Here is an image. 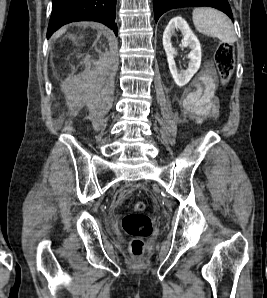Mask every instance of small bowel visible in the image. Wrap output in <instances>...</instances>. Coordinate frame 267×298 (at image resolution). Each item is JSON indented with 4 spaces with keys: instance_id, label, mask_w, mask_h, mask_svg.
<instances>
[{
    "instance_id": "small-bowel-1",
    "label": "small bowel",
    "mask_w": 267,
    "mask_h": 298,
    "mask_svg": "<svg viewBox=\"0 0 267 298\" xmlns=\"http://www.w3.org/2000/svg\"><path fill=\"white\" fill-rule=\"evenodd\" d=\"M215 86L214 69L207 65L193 81L192 89L183 99V113L197 122L215 118L218 109V103L214 96Z\"/></svg>"
}]
</instances>
